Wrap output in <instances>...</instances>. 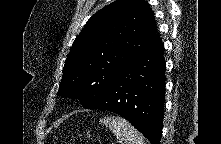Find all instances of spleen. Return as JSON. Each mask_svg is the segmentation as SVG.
I'll use <instances>...</instances> for the list:
<instances>
[{
  "mask_svg": "<svg viewBox=\"0 0 221 144\" xmlns=\"http://www.w3.org/2000/svg\"><path fill=\"white\" fill-rule=\"evenodd\" d=\"M109 127L113 134L124 144H144L143 136L126 119L118 116H109L100 120Z\"/></svg>",
  "mask_w": 221,
  "mask_h": 144,
  "instance_id": "obj_1",
  "label": "spleen"
}]
</instances>
